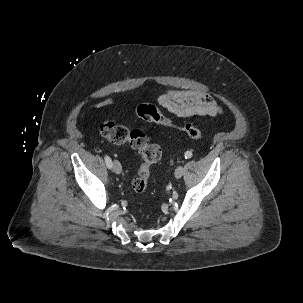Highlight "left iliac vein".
I'll return each instance as SVG.
<instances>
[{"label":"left iliac vein","instance_id":"4c4485c4","mask_svg":"<svg viewBox=\"0 0 303 303\" xmlns=\"http://www.w3.org/2000/svg\"><path fill=\"white\" fill-rule=\"evenodd\" d=\"M183 173H184V167H183V166H178V167L176 168V170H175V178H176V179L181 178L182 175H183Z\"/></svg>","mask_w":303,"mask_h":303}]
</instances>
